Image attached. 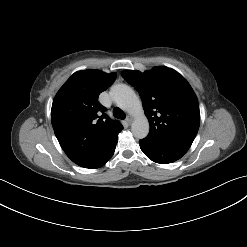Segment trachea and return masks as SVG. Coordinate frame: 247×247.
Returning a JSON list of instances; mask_svg holds the SVG:
<instances>
[{"instance_id":"obj_1","label":"trachea","mask_w":247,"mask_h":247,"mask_svg":"<svg viewBox=\"0 0 247 247\" xmlns=\"http://www.w3.org/2000/svg\"><path fill=\"white\" fill-rule=\"evenodd\" d=\"M113 115L119 119H124L126 117V114L117 107L113 109Z\"/></svg>"}]
</instances>
